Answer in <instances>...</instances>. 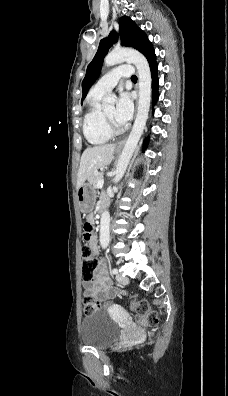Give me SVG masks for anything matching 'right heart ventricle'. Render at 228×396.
I'll return each mask as SVG.
<instances>
[{
    "label": "right heart ventricle",
    "mask_w": 228,
    "mask_h": 396,
    "mask_svg": "<svg viewBox=\"0 0 228 396\" xmlns=\"http://www.w3.org/2000/svg\"><path fill=\"white\" fill-rule=\"evenodd\" d=\"M102 95L90 92L87 97V111L83 118V134L86 140L92 145H102L111 139V135L107 132L103 114L100 108V99Z\"/></svg>",
    "instance_id": "1"
}]
</instances>
